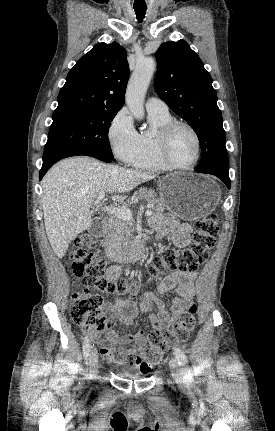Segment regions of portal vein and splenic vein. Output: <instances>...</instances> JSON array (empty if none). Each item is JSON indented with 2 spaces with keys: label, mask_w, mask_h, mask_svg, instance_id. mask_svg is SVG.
<instances>
[{
  "label": "portal vein and splenic vein",
  "mask_w": 275,
  "mask_h": 431,
  "mask_svg": "<svg viewBox=\"0 0 275 431\" xmlns=\"http://www.w3.org/2000/svg\"><path fill=\"white\" fill-rule=\"evenodd\" d=\"M105 197V192L101 191L98 195V198L96 201H94V206H97L99 204V202ZM102 211L108 212L114 216H117L121 219H125V220H130L132 218V211L129 208L126 207H103ZM152 210H147L145 215L146 216H151L152 215Z\"/></svg>",
  "instance_id": "portal-vein-and-splenic-vein-1"
}]
</instances>
